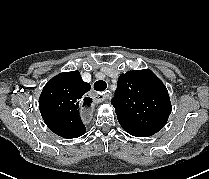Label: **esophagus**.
<instances>
[{"instance_id":"34e87169","label":"esophagus","mask_w":209,"mask_h":179,"mask_svg":"<svg viewBox=\"0 0 209 179\" xmlns=\"http://www.w3.org/2000/svg\"><path fill=\"white\" fill-rule=\"evenodd\" d=\"M111 97V92L109 90L98 93V94H88L85 98L81 100L82 109V120L85 123H90L93 120V107H95L98 102H102Z\"/></svg>"}]
</instances>
